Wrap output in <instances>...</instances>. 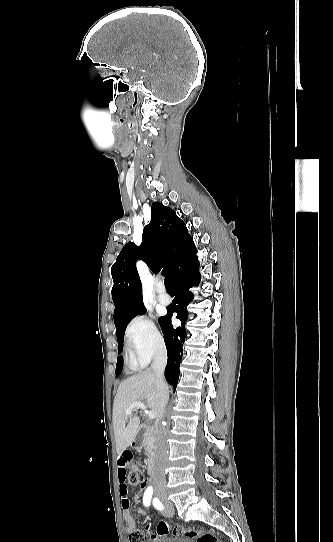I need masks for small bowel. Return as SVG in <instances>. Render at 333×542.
I'll use <instances>...</instances> for the list:
<instances>
[{
  "label": "small bowel",
  "instance_id": "c3829d8e",
  "mask_svg": "<svg viewBox=\"0 0 333 542\" xmlns=\"http://www.w3.org/2000/svg\"><path fill=\"white\" fill-rule=\"evenodd\" d=\"M130 451H131L130 448H128V447L125 448L124 452H122V454L118 458V463H117V482H118V493H119V497H120V506H121V509H122L123 519L127 523L126 531L129 534H131L133 531H135L137 529V524H136V522H135V520H134V518L132 516L131 503H130V500L128 498V487H127V484H126L127 467H128V464L130 463V461L132 459ZM149 484H150V481L146 477L142 481V484L140 485V488L142 490H145ZM141 501H142V496L139 493L135 494L134 502L137 505H139L141 503ZM144 512L145 511H144V509L142 507H138L137 510H136V513L138 515H143ZM153 541L154 542L157 541L155 536L153 537Z\"/></svg>",
  "mask_w": 333,
  "mask_h": 542
}]
</instances>
